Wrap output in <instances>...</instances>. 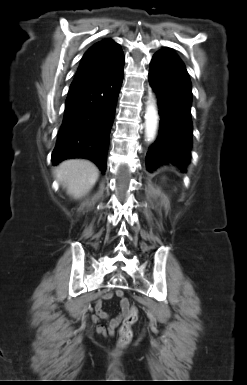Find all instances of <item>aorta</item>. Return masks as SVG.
Here are the masks:
<instances>
[{
	"label": "aorta",
	"mask_w": 247,
	"mask_h": 385,
	"mask_svg": "<svg viewBox=\"0 0 247 385\" xmlns=\"http://www.w3.org/2000/svg\"><path fill=\"white\" fill-rule=\"evenodd\" d=\"M158 111L152 99L147 103L145 114V137L148 142L155 139L158 127Z\"/></svg>",
	"instance_id": "762f6f07"
}]
</instances>
